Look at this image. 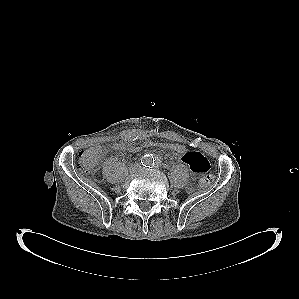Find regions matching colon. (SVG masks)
<instances>
[{
    "label": "colon",
    "instance_id": "5ec220e1",
    "mask_svg": "<svg viewBox=\"0 0 299 299\" xmlns=\"http://www.w3.org/2000/svg\"><path fill=\"white\" fill-rule=\"evenodd\" d=\"M159 147L171 150L179 157L183 156L185 153V147L181 144L165 142L162 140H146L143 143L136 144L133 143L130 147L120 139L105 148H90L80 152L77 162V168L83 173L90 174L95 171L98 160L104 150H118L125 151L126 149H131L133 152H140L145 149ZM213 182V176L210 174H205L201 177L199 185L202 188L210 186Z\"/></svg>",
    "mask_w": 299,
    "mask_h": 299
}]
</instances>
